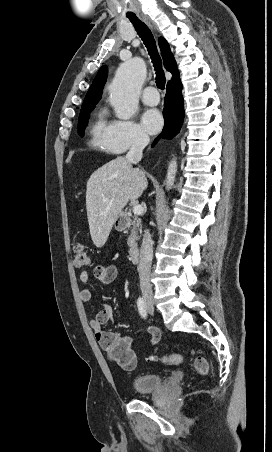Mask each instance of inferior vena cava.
<instances>
[{"instance_id":"602c4592","label":"inferior vena cava","mask_w":272,"mask_h":452,"mask_svg":"<svg viewBox=\"0 0 272 452\" xmlns=\"http://www.w3.org/2000/svg\"><path fill=\"white\" fill-rule=\"evenodd\" d=\"M150 139L146 134L139 133L130 150L126 154V159L131 163H138L142 159L143 149L148 145ZM153 258V241L148 229L144 231L140 248L139 278L142 297L144 300H152L153 292L150 283V270Z\"/></svg>"}]
</instances>
